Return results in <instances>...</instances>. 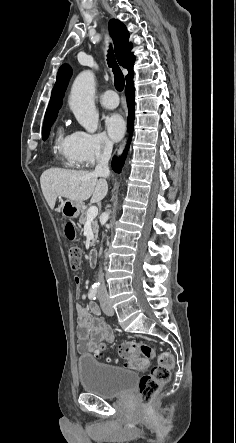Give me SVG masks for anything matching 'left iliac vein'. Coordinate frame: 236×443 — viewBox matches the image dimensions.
<instances>
[{
    "label": "left iliac vein",
    "mask_w": 236,
    "mask_h": 443,
    "mask_svg": "<svg viewBox=\"0 0 236 443\" xmlns=\"http://www.w3.org/2000/svg\"><path fill=\"white\" fill-rule=\"evenodd\" d=\"M102 310L104 312V314H106L107 316H113L114 315V309L111 305H102Z\"/></svg>",
    "instance_id": "left-iliac-vein-1"
}]
</instances>
